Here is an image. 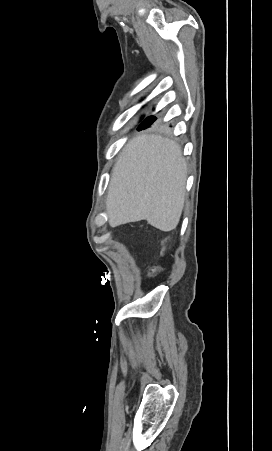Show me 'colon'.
I'll list each match as a JSON object with an SVG mask.
<instances>
[{"instance_id": "5ec220e1", "label": "colon", "mask_w": 272, "mask_h": 451, "mask_svg": "<svg viewBox=\"0 0 272 451\" xmlns=\"http://www.w3.org/2000/svg\"><path fill=\"white\" fill-rule=\"evenodd\" d=\"M150 273H153L154 271H155V268L154 267H152V268H150Z\"/></svg>"}]
</instances>
